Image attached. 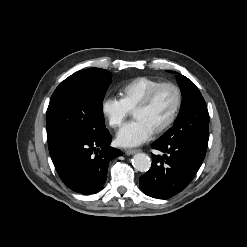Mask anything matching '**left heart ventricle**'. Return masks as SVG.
I'll return each instance as SVG.
<instances>
[{"label":"left heart ventricle","instance_id":"left-heart-ventricle-1","mask_svg":"<svg viewBox=\"0 0 247 247\" xmlns=\"http://www.w3.org/2000/svg\"><path fill=\"white\" fill-rule=\"evenodd\" d=\"M176 103L175 92L169 88H162L155 96L151 105L143 110L133 112L135 119L143 120L154 131L170 117Z\"/></svg>","mask_w":247,"mask_h":247}]
</instances>
